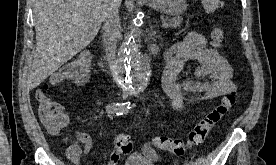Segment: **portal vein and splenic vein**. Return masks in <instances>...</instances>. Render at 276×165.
I'll return each instance as SVG.
<instances>
[{
  "mask_svg": "<svg viewBox=\"0 0 276 165\" xmlns=\"http://www.w3.org/2000/svg\"><path fill=\"white\" fill-rule=\"evenodd\" d=\"M168 26H169V23L164 21L162 27L167 28Z\"/></svg>",
  "mask_w": 276,
  "mask_h": 165,
  "instance_id": "obj_1",
  "label": "portal vein and splenic vein"
}]
</instances>
